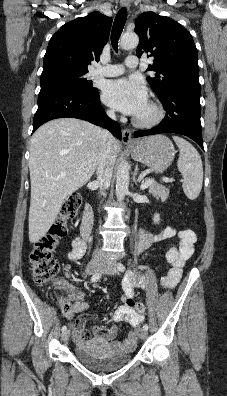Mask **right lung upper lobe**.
I'll return each instance as SVG.
<instances>
[{"instance_id":"cb5924a9","label":"right lung upper lobe","mask_w":227,"mask_h":396,"mask_svg":"<svg viewBox=\"0 0 227 396\" xmlns=\"http://www.w3.org/2000/svg\"><path fill=\"white\" fill-rule=\"evenodd\" d=\"M111 24L112 19L99 12L64 24L49 41L43 71L52 68L88 71V64L99 60Z\"/></svg>"}]
</instances>
